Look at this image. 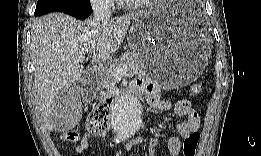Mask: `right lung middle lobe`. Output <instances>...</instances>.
Instances as JSON below:
<instances>
[{
    "label": "right lung middle lobe",
    "mask_w": 261,
    "mask_h": 156,
    "mask_svg": "<svg viewBox=\"0 0 261 156\" xmlns=\"http://www.w3.org/2000/svg\"><path fill=\"white\" fill-rule=\"evenodd\" d=\"M91 8L89 0H38L35 16L48 12L60 11L68 13L77 8Z\"/></svg>",
    "instance_id": "1"
}]
</instances>
